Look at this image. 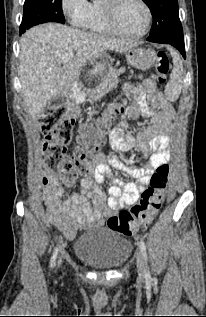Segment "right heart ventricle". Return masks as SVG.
Here are the masks:
<instances>
[{"label": "right heart ventricle", "instance_id": "right-heart-ventricle-1", "mask_svg": "<svg viewBox=\"0 0 206 317\" xmlns=\"http://www.w3.org/2000/svg\"><path fill=\"white\" fill-rule=\"evenodd\" d=\"M85 28L102 34L112 33L106 22L103 3L94 1L90 4V13Z\"/></svg>", "mask_w": 206, "mask_h": 317}]
</instances>
